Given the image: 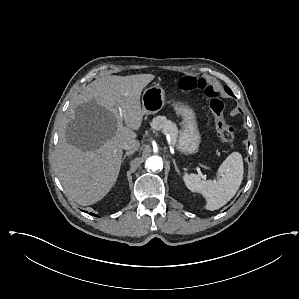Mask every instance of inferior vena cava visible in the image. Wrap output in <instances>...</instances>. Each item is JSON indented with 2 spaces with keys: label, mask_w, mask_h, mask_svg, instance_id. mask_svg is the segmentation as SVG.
Segmentation results:
<instances>
[{
  "label": "inferior vena cava",
  "mask_w": 299,
  "mask_h": 299,
  "mask_svg": "<svg viewBox=\"0 0 299 299\" xmlns=\"http://www.w3.org/2000/svg\"><path fill=\"white\" fill-rule=\"evenodd\" d=\"M139 146H140V143L136 139H126L122 143V148L124 150H128V151H131L133 153L139 149Z\"/></svg>",
  "instance_id": "602c4592"
}]
</instances>
